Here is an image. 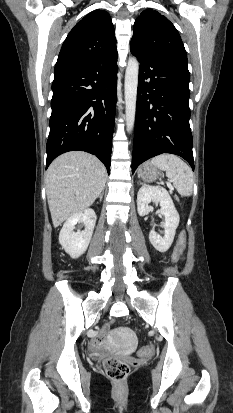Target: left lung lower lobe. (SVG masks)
Listing matches in <instances>:
<instances>
[{
    "label": "left lung lower lobe",
    "mask_w": 233,
    "mask_h": 413,
    "mask_svg": "<svg viewBox=\"0 0 233 413\" xmlns=\"http://www.w3.org/2000/svg\"><path fill=\"white\" fill-rule=\"evenodd\" d=\"M140 65L132 173L162 153L184 158L194 170L189 125V73L131 48Z\"/></svg>",
    "instance_id": "0a47b994"
}]
</instances>
